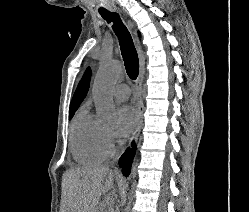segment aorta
<instances>
[{
  "label": "aorta",
  "mask_w": 249,
  "mask_h": 212,
  "mask_svg": "<svg viewBox=\"0 0 249 212\" xmlns=\"http://www.w3.org/2000/svg\"><path fill=\"white\" fill-rule=\"evenodd\" d=\"M122 73L120 62L103 61L97 71L92 94L95 101L97 116L101 121L109 122L116 118V110L112 98V89Z\"/></svg>",
  "instance_id": "aorta-1"
}]
</instances>
